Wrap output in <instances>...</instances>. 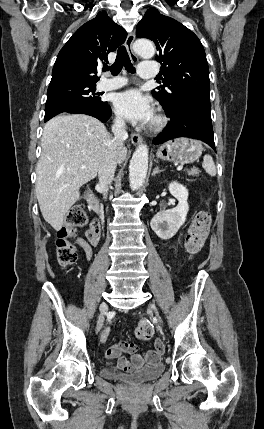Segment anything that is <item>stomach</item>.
I'll use <instances>...</instances> for the list:
<instances>
[{"instance_id":"obj_1","label":"stomach","mask_w":264,"mask_h":429,"mask_svg":"<svg viewBox=\"0 0 264 429\" xmlns=\"http://www.w3.org/2000/svg\"><path fill=\"white\" fill-rule=\"evenodd\" d=\"M202 151V143L199 140L182 137L162 144L156 156L165 161L192 163L201 156Z\"/></svg>"}]
</instances>
